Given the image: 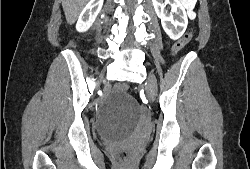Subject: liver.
<instances>
[{"label":"liver","instance_id":"liver-1","mask_svg":"<svg viewBox=\"0 0 250 169\" xmlns=\"http://www.w3.org/2000/svg\"><path fill=\"white\" fill-rule=\"evenodd\" d=\"M61 2L67 22L73 24L88 0H61Z\"/></svg>","mask_w":250,"mask_h":169}]
</instances>
